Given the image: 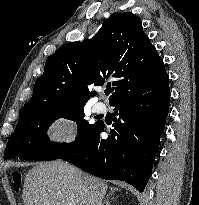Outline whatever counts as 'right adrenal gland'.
Here are the masks:
<instances>
[{
	"mask_svg": "<svg viewBox=\"0 0 199 205\" xmlns=\"http://www.w3.org/2000/svg\"><path fill=\"white\" fill-rule=\"evenodd\" d=\"M110 190L111 191H116V189L115 188H110ZM109 195H110V193H109ZM109 195H107L106 196V199H105V203H106V205H110V198H109Z\"/></svg>",
	"mask_w": 199,
	"mask_h": 205,
	"instance_id": "obj_1",
	"label": "right adrenal gland"
}]
</instances>
